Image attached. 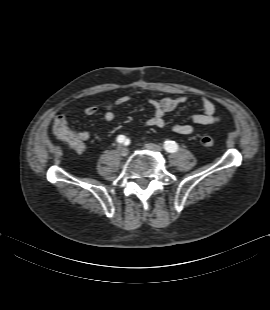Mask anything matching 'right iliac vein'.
Instances as JSON below:
<instances>
[{"label":"right iliac vein","instance_id":"63e3f726","mask_svg":"<svg viewBox=\"0 0 270 310\" xmlns=\"http://www.w3.org/2000/svg\"><path fill=\"white\" fill-rule=\"evenodd\" d=\"M119 152L121 154V156L125 157L128 155L129 151L125 146H122L119 148Z\"/></svg>","mask_w":270,"mask_h":310}]
</instances>
